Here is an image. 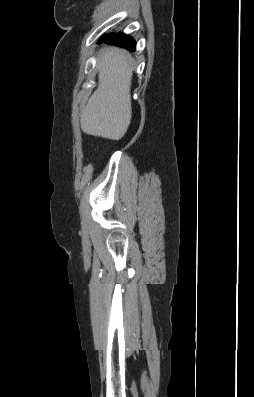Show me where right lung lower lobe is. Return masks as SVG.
Returning <instances> with one entry per match:
<instances>
[{
  "label": "right lung lower lobe",
  "instance_id": "1",
  "mask_svg": "<svg viewBox=\"0 0 254 397\" xmlns=\"http://www.w3.org/2000/svg\"><path fill=\"white\" fill-rule=\"evenodd\" d=\"M104 42L106 44H113L122 48H126L130 51H135V41L128 35L123 33H112L105 35L99 43Z\"/></svg>",
  "mask_w": 254,
  "mask_h": 397
}]
</instances>
